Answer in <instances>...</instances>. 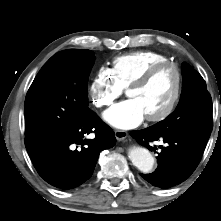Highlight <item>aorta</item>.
<instances>
[{"label": "aorta", "instance_id": "aorta-1", "mask_svg": "<svg viewBox=\"0 0 221 221\" xmlns=\"http://www.w3.org/2000/svg\"><path fill=\"white\" fill-rule=\"evenodd\" d=\"M128 157L141 172L152 171L155 159L146 148L134 146L129 149Z\"/></svg>", "mask_w": 221, "mask_h": 221}]
</instances>
